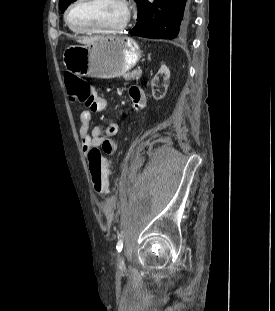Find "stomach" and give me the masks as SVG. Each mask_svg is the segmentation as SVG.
Segmentation results:
<instances>
[{
    "label": "stomach",
    "instance_id": "1",
    "mask_svg": "<svg viewBox=\"0 0 275 311\" xmlns=\"http://www.w3.org/2000/svg\"><path fill=\"white\" fill-rule=\"evenodd\" d=\"M141 58L138 44L127 37H100L63 52L66 70L77 76L111 79L132 69Z\"/></svg>",
    "mask_w": 275,
    "mask_h": 311
}]
</instances>
